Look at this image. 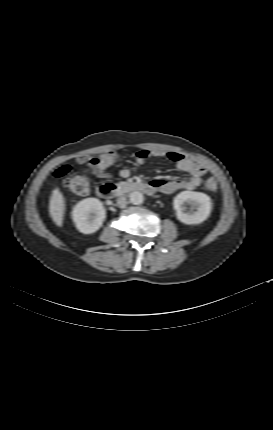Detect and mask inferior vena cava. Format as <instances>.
<instances>
[{
  "label": "inferior vena cava",
  "instance_id": "602c4592",
  "mask_svg": "<svg viewBox=\"0 0 273 430\" xmlns=\"http://www.w3.org/2000/svg\"><path fill=\"white\" fill-rule=\"evenodd\" d=\"M117 205L119 206V208H125L126 207V205H127V201H126V198L125 197H120V198H118V200H117Z\"/></svg>",
  "mask_w": 273,
  "mask_h": 430
}]
</instances>
